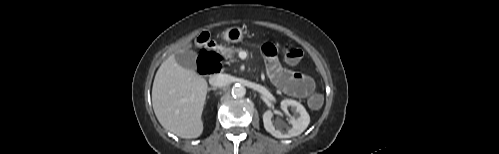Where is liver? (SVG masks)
Listing matches in <instances>:
<instances>
[{
    "mask_svg": "<svg viewBox=\"0 0 499 154\" xmlns=\"http://www.w3.org/2000/svg\"><path fill=\"white\" fill-rule=\"evenodd\" d=\"M207 81L169 56L159 67L152 87V105L159 123L175 135L192 139L203 132L202 112Z\"/></svg>",
    "mask_w": 499,
    "mask_h": 154,
    "instance_id": "obj_1",
    "label": "liver"
}]
</instances>
